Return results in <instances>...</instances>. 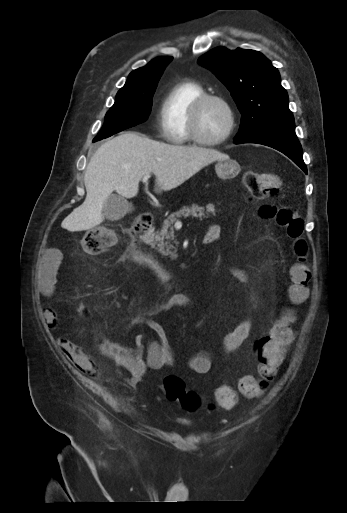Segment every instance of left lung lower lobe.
Returning <instances> with one entry per match:
<instances>
[{
	"mask_svg": "<svg viewBox=\"0 0 347 513\" xmlns=\"http://www.w3.org/2000/svg\"><path fill=\"white\" fill-rule=\"evenodd\" d=\"M241 143H256L272 147L284 153L307 173L302 148L292 122L271 124L242 139L235 140V144Z\"/></svg>",
	"mask_w": 347,
	"mask_h": 513,
	"instance_id": "obj_1",
	"label": "left lung lower lobe"
}]
</instances>
